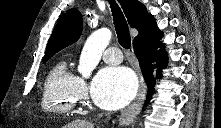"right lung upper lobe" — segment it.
<instances>
[{"label":"right lung upper lobe","instance_id":"right-lung-upper-lobe-1","mask_svg":"<svg viewBox=\"0 0 221 128\" xmlns=\"http://www.w3.org/2000/svg\"><path fill=\"white\" fill-rule=\"evenodd\" d=\"M131 27L136 28L139 35L133 43H150L160 40L162 33L156 26L151 14L138 0H118ZM82 16L76 9H71L57 23L48 43L45 56L54 55L62 48L78 40L82 33Z\"/></svg>","mask_w":221,"mask_h":128}]
</instances>
